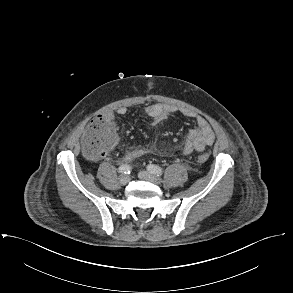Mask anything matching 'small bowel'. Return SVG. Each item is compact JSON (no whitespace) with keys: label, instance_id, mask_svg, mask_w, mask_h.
<instances>
[{"label":"small bowel","instance_id":"small-bowel-1","mask_svg":"<svg viewBox=\"0 0 293 293\" xmlns=\"http://www.w3.org/2000/svg\"><path fill=\"white\" fill-rule=\"evenodd\" d=\"M143 111L151 118L153 124H159L167 119L171 114L177 112L178 109L171 105L154 103L146 106ZM180 112L185 117L194 119L196 124L195 128L188 132L187 137L183 143L182 151L185 155H189L194 151H202L214 142V132L203 116L196 115L188 110H181ZM126 113L127 108L118 107L114 110L106 111L102 116L108 121L114 122L118 116L125 115ZM147 152V150L132 149L124 155L123 161L130 162L146 154ZM159 154L167 155L168 153L164 150H161L159 151Z\"/></svg>","mask_w":293,"mask_h":293}]
</instances>
